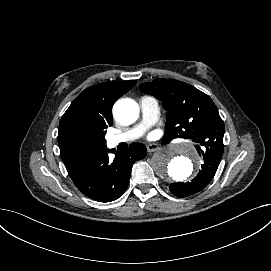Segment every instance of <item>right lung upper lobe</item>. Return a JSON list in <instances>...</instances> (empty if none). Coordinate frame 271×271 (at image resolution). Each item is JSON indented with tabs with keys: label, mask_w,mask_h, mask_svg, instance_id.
I'll list each match as a JSON object with an SVG mask.
<instances>
[{
	"label": "right lung upper lobe",
	"mask_w": 271,
	"mask_h": 271,
	"mask_svg": "<svg viewBox=\"0 0 271 271\" xmlns=\"http://www.w3.org/2000/svg\"><path fill=\"white\" fill-rule=\"evenodd\" d=\"M137 81H108L85 89L70 105L59 123L58 144L66 165L80 158V153L66 144L67 132L79 125L107 128L113 124L112 106Z\"/></svg>",
	"instance_id": "right-lung-upper-lobe-1"
}]
</instances>
